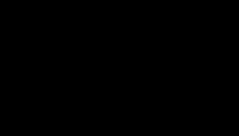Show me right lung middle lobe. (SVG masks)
<instances>
[{
  "label": "right lung middle lobe",
  "instance_id": "right-lung-middle-lobe-1",
  "mask_svg": "<svg viewBox=\"0 0 239 136\" xmlns=\"http://www.w3.org/2000/svg\"><path fill=\"white\" fill-rule=\"evenodd\" d=\"M60 33L66 38L92 44L100 47H108L111 23L107 19L91 18L68 22L54 29L48 39Z\"/></svg>",
  "mask_w": 239,
  "mask_h": 136
}]
</instances>
